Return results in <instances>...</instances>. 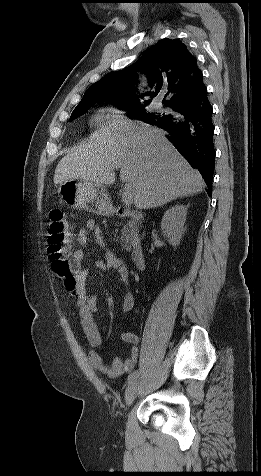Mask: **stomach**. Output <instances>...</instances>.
Masks as SVG:
<instances>
[{
  "label": "stomach",
  "mask_w": 261,
  "mask_h": 476,
  "mask_svg": "<svg viewBox=\"0 0 261 476\" xmlns=\"http://www.w3.org/2000/svg\"><path fill=\"white\" fill-rule=\"evenodd\" d=\"M63 199L75 209L91 211L107 216L112 213V204L107 189L85 180H68L60 185Z\"/></svg>",
  "instance_id": "0dacf381"
}]
</instances>
